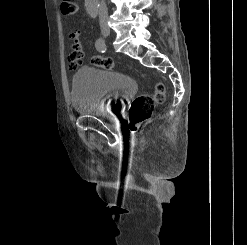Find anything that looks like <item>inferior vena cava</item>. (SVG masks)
<instances>
[{
	"label": "inferior vena cava",
	"mask_w": 247,
	"mask_h": 245,
	"mask_svg": "<svg viewBox=\"0 0 247 245\" xmlns=\"http://www.w3.org/2000/svg\"><path fill=\"white\" fill-rule=\"evenodd\" d=\"M99 20L102 27H107L108 22V10L105 0H101L99 7Z\"/></svg>",
	"instance_id": "obj_1"
}]
</instances>
